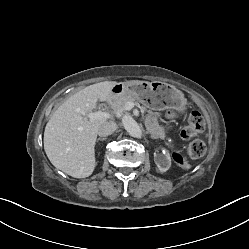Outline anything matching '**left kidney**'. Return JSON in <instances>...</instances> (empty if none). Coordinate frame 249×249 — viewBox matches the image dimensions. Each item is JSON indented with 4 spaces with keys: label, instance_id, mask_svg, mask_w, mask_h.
Wrapping results in <instances>:
<instances>
[{
    "label": "left kidney",
    "instance_id": "obj_1",
    "mask_svg": "<svg viewBox=\"0 0 249 249\" xmlns=\"http://www.w3.org/2000/svg\"><path fill=\"white\" fill-rule=\"evenodd\" d=\"M171 151L169 149H164L160 151L157 155L154 156L155 163L157 165L158 170L161 173L169 170L171 166Z\"/></svg>",
    "mask_w": 249,
    "mask_h": 249
}]
</instances>
